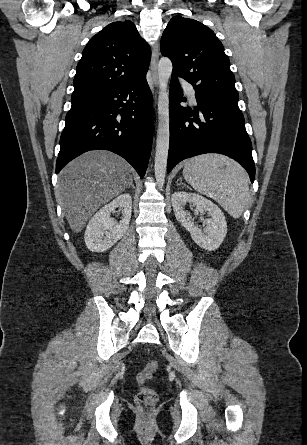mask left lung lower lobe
I'll return each mask as SVG.
<instances>
[{"mask_svg":"<svg viewBox=\"0 0 307 445\" xmlns=\"http://www.w3.org/2000/svg\"><path fill=\"white\" fill-rule=\"evenodd\" d=\"M182 89L172 75L169 95L170 145L167 172L183 159L204 153H220L238 161L255 178L252 145L238 105L195 94L197 107L180 106ZM201 114L199 115V111ZM193 116V118H190Z\"/></svg>","mask_w":307,"mask_h":445,"instance_id":"obj_1","label":"left lung lower lobe"}]
</instances>
